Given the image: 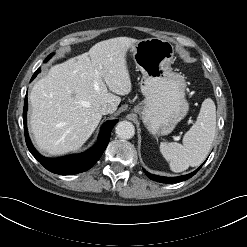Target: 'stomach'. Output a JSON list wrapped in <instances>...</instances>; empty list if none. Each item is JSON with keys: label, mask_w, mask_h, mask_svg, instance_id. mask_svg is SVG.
Wrapping results in <instances>:
<instances>
[{"label": "stomach", "mask_w": 247, "mask_h": 247, "mask_svg": "<svg viewBox=\"0 0 247 247\" xmlns=\"http://www.w3.org/2000/svg\"><path fill=\"white\" fill-rule=\"evenodd\" d=\"M130 51L143 75L140 86L145 97L134 111L151 134L168 135L189 111L186 81L171 68L174 46L164 39L147 38L132 45Z\"/></svg>", "instance_id": "1"}]
</instances>
